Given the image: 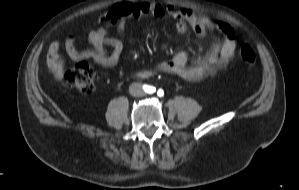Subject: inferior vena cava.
Segmentation results:
<instances>
[{
  "instance_id": "602c4592",
  "label": "inferior vena cava",
  "mask_w": 299,
  "mask_h": 190,
  "mask_svg": "<svg viewBox=\"0 0 299 190\" xmlns=\"http://www.w3.org/2000/svg\"><path fill=\"white\" fill-rule=\"evenodd\" d=\"M130 93L133 96H144V94H145L141 85H139V84H133L130 88Z\"/></svg>"
}]
</instances>
